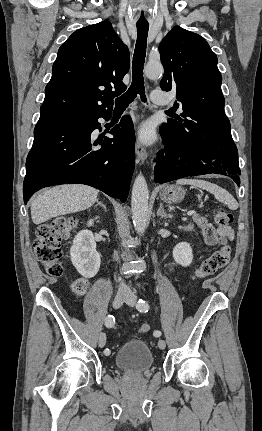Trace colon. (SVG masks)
<instances>
[{"label": "colon", "instance_id": "obj_1", "mask_svg": "<svg viewBox=\"0 0 262 431\" xmlns=\"http://www.w3.org/2000/svg\"><path fill=\"white\" fill-rule=\"evenodd\" d=\"M213 221L218 227H226L233 222V217L229 212L218 208L214 211ZM75 226L76 222L72 217L62 216L37 228L34 243L36 256L48 274L53 277H59L64 272L61 243L67 239ZM230 257L231 248L226 241H223L218 249L200 263L193 273V280L198 281L215 274L229 263ZM73 288L75 293L81 295L86 289V283L83 280H77ZM149 330L150 325L143 324L139 331L147 333Z\"/></svg>", "mask_w": 262, "mask_h": 431}]
</instances>
